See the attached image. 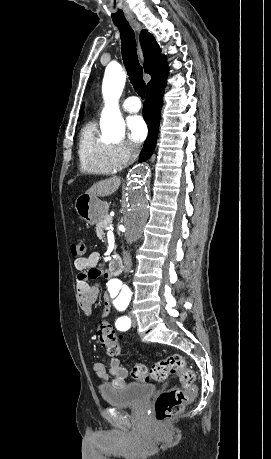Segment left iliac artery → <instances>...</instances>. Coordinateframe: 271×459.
<instances>
[{
  "mask_svg": "<svg viewBox=\"0 0 271 459\" xmlns=\"http://www.w3.org/2000/svg\"><path fill=\"white\" fill-rule=\"evenodd\" d=\"M116 308L118 309H125L128 306V303H120V305L115 304ZM116 328L120 331H126L131 326V320L127 316L119 318L116 323Z\"/></svg>",
  "mask_w": 271,
  "mask_h": 459,
  "instance_id": "1",
  "label": "left iliac artery"
}]
</instances>
